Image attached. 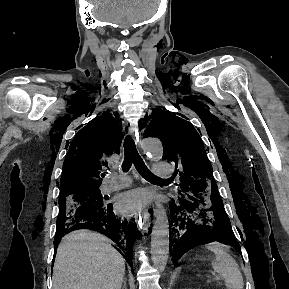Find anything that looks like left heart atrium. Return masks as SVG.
Returning <instances> with one entry per match:
<instances>
[{"label": "left heart atrium", "mask_w": 289, "mask_h": 289, "mask_svg": "<svg viewBox=\"0 0 289 289\" xmlns=\"http://www.w3.org/2000/svg\"><path fill=\"white\" fill-rule=\"evenodd\" d=\"M151 200L150 194L144 189H134L120 194L116 199V210L126 216L140 213Z\"/></svg>", "instance_id": "left-heart-atrium-1"}]
</instances>
